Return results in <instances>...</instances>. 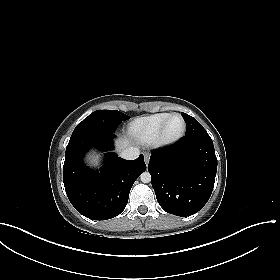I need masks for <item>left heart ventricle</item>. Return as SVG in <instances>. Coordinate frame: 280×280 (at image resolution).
<instances>
[{"label": "left heart ventricle", "mask_w": 280, "mask_h": 280, "mask_svg": "<svg viewBox=\"0 0 280 280\" xmlns=\"http://www.w3.org/2000/svg\"><path fill=\"white\" fill-rule=\"evenodd\" d=\"M183 127V122L181 120V118L179 117H173L166 128V137L167 138H173L175 136H177Z\"/></svg>", "instance_id": "obj_1"}]
</instances>
